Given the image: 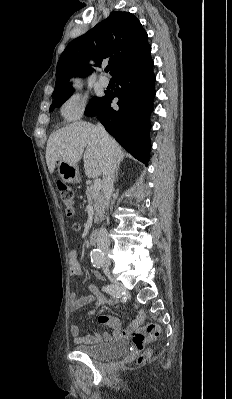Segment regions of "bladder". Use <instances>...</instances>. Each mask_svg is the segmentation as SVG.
Instances as JSON below:
<instances>
[{"label":"bladder","mask_w":232,"mask_h":399,"mask_svg":"<svg viewBox=\"0 0 232 399\" xmlns=\"http://www.w3.org/2000/svg\"><path fill=\"white\" fill-rule=\"evenodd\" d=\"M75 350L95 360H114L125 356L129 346L125 340L115 339L94 344H78Z\"/></svg>","instance_id":"1"}]
</instances>
